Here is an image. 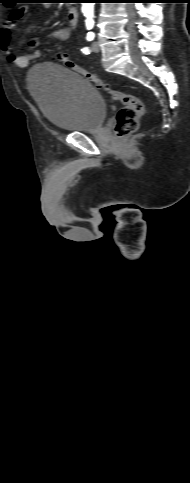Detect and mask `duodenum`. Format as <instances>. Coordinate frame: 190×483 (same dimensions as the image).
<instances>
[{
	"label": "duodenum",
	"mask_w": 190,
	"mask_h": 483,
	"mask_svg": "<svg viewBox=\"0 0 190 483\" xmlns=\"http://www.w3.org/2000/svg\"><path fill=\"white\" fill-rule=\"evenodd\" d=\"M68 21L71 26H75L78 22L79 13L76 7L71 6L67 13Z\"/></svg>",
	"instance_id": "410a0bca"
}]
</instances>
